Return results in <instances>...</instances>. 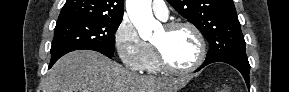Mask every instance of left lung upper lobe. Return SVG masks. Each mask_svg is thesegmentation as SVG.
<instances>
[{"label": "left lung upper lobe", "mask_w": 289, "mask_h": 92, "mask_svg": "<svg viewBox=\"0 0 289 92\" xmlns=\"http://www.w3.org/2000/svg\"><path fill=\"white\" fill-rule=\"evenodd\" d=\"M209 42L205 60L222 56L247 58L245 40L232 0H167Z\"/></svg>", "instance_id": "1"}]
</instances>
